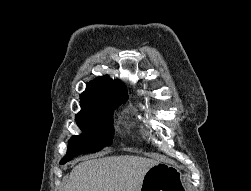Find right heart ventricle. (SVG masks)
Instances as JSON below:
<instances>
[{
	"label": "right heart ventricle",
	"mask_w": 251,
	"mask_h": 191,
	"mask_svg": "<svg viewBox=\"0 0 251 191\" xmlns=\"http://www.w3.org/2000/svg\"><path fill=\"white\" fill-rule=\"evenodd\" d=\"M132 91H138L137 89H133Z\"/></svg>",
	"instance_id": "e07e8e85"
}]
</instances>
